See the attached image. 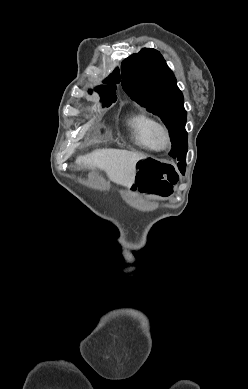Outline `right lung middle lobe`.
<instances>
[{"mask_svg": "<svg viewBox=\"0 0 248 389\" xmlns=\"http://www.w3.org/2000/svg\"><path fill=\"white\" fill-rule=\"evenodd\" d=\"M117 98L114 97H101V100L105 105L110 106L113 102L116 101Z\"/></svg>", "mask_w": 248, "mask_h": 389, "instance_id": "1", "label": "right lung middle lobe"}]
</instances>
